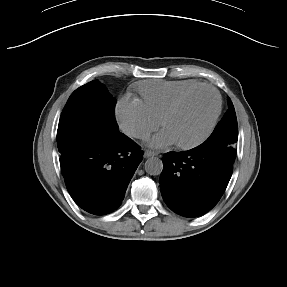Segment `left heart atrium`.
Returning a JSON list of instances; mask_svg holds the SVG:
<instances>
[{
    "instance_id": "left-heart-atrium-1",
    "label": "left heart atrium",
    "mask_w": 287,
    "mask_h": 287,
    "mask_svg": "<svg viewBox=\"0 0 287 287\" xmlns=\"http://www.w3.org/2000/svg\"><path fill=\"white\" fill-rule=\"evenodd\" d=\"M175 143L176 142L172 135L166 129H164L152 138L150 141V146L160 149L169 147Z\"/></svg>"
}]
</instances>
